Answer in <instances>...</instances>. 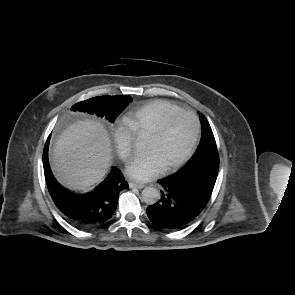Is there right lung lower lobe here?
Returning a JSON list of instances; mask_svg holds the SVG:
<instances>
[{
	"instance_id": "obj_1",
	"label": "right lung lower lobe",
	"mask_w": 295,
	"mask_h": 295,
	"mask_svg": "<svg viewBox=\"0 0 295 295\" xmlns=\"http://www.w3.org/2000/svg\"><path fill=\"white\" fill-rule=\"evenodd\" d=\"M49 139L43 152V165L50 195L68 222L80 229L98 227L109 220L116 208L119 192L129 186L122 173L113 168L106 179L88 194H76L60 186L53 178L48 163Z\"/></svg>"
}]
</instances>
